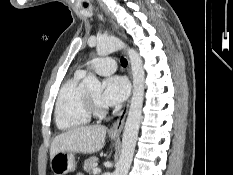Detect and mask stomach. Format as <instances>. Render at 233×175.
<instances>
[{"label": "stomach", "mask_w": 233, "mask_h": 175, "mask_svg": "<svg viewBox=\"0 0 233 175\" xmlns=\"http://www.w3.org/2000/svg\"><path fill=\"white\" fill-rule=\"evenodd\" d=\"M112 139L118 136H111ZM54 175H65L75 170V157L71 152H59L53 156L50 162Z\"/></svg>", "instance_id": "1"}]
</instances>
